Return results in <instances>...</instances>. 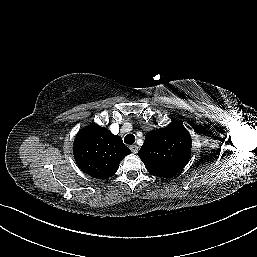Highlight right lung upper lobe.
<instances>
[{
    "instance_id": "cb5924a9",
    "label": "right lung upper lobe",
    "mask_w": 257,
    "mask_h": 257,
    "mask_svg": "<svg viewBox=\"0 0 257 257\" xmlns=\"http://www.w3.org/2000/svg\"><path fill=\"white\" fill-rule=\"evenodd\" d=\"M130 153L121 137L97 124L79 131L74 141V157L79 168L97 179L113 176L119 162Z\"/></svg>"
}]
</instances>
